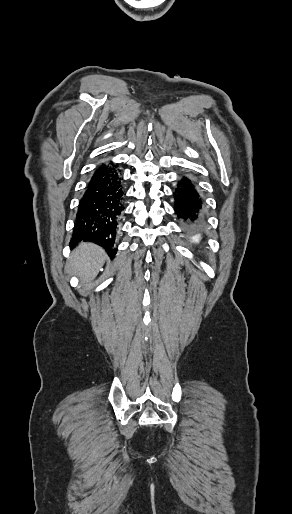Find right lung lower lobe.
I'll return each instance as SVG.
<instances>
[{
    "label": "right lung lower lobe",
    "instance_id": "obj_1",
    "mask_svg": "<svg viewBox=\"0 0 292 514\" xmlns=\"http://www.w3.org/2000/svg\"><path fill=\"white\" fill-rule=\"evenodd\" d=\"M118 165L98 166L80 199L71 245L93 241L113 257L119 218L124 210L125 190Z\"/></svg>",
    "mask_w": 292,
    "mask_h": 514
}]
</instances>
